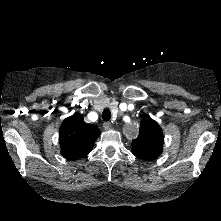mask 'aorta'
Instances as JSON below:
<instances>
[{
  "label": "aorta",
  "mask_w": 221,
  "mask_h": 221,
  "mask_svg": "<svg viewBox=\"0 0 221 221\" xmlns=\"http://www.w3.org/2000/svg\"><path fill=\"white\" fill-rule=\"evenodd\" d=\"M136 132L137 130L133 127H130L127 129V134L130 136V137H134L136 135Z\"/></svg>",
  "instance_id": "obj_1"
}]
</instances>
